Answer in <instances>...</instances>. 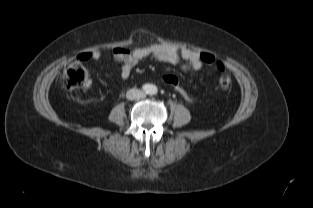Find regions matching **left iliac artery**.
Here are the masks:
<instances>
[{"label":"left iliac artery","mask_w":313,"mask_h":208,"mask_svg":"<svg viewBox=\"0 0 313 208\" xmlns=\"http://www.w3.org/2000/svg\"><path fill=\"white\" fill-rule=\"evenodd\" d=\"M150 93H151L152 95H155V94L157 93V88H156L155 86H152Z\"/></svg>","instance_id":"left-iliac-artery-1"}]
</instances>
